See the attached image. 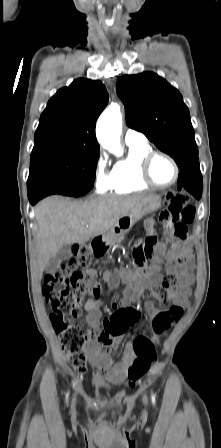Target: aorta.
<instances>
[{
    "label": "aorta",
    "mask_w": 221,
    "mask_h": 448,
    "mask_svg": "<svg viewBox=\"0 0 221 448\" xmlns=\"http://www.w3.org/2000/svg\"><path fill=\"white\" fill-rule=\"evenodd\" d=\"M121 132L122 114L120 106L112 104L98 119L96 127L97 139L106 150L119 156L123 153L120 143Z\"/></svg>",
    "instance_id": "obj_1"
}]
</instances>
